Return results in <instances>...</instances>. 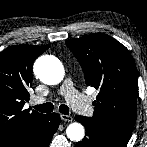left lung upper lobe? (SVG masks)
I'll return each instance as SVG.
<instances>
[{"instance_id":"obj_1","label":"left lung upper lobe","mask_w":147,"mask_h":147,"mask_svg":"<svg viewBox=\"0 0 147 147\" xmlns=\"http://www.w3.org/2000/svg\"><path fill=\"white\" fill-rule=\"evenodd\" d=\"M66 45L78 59L85 82L99 90L88 119L119 143H128L136 121L138 76L128 49L104 33L70 39Z\"/></svg>"}]
</instances>
